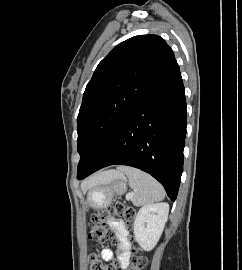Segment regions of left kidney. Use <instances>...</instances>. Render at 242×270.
<instances>
[{"label":"left kidney","instance_id":"obj_1","mask_svg":"<svg viewBox=\"0 0 242 270\" xmlns=\"http://www.w3.org/2000/svg\"><path fill=\"white\" fill-rule=\"evenodd\" d=\"M168 213V203L145 205L139 209L134 222V235L137 243L145 251H151L156 246Z\"/></svg>","mask_w":242,"mask_h":270}]
</instances>
